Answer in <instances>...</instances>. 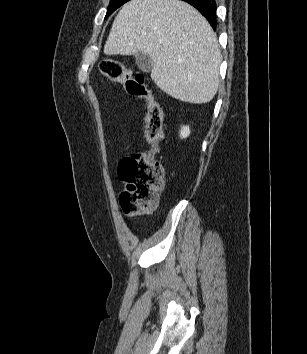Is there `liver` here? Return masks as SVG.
Here are the masks:
<instances>
[{"label":"liver","mask_w":307,"mask_h":354,"mask_svg":"<svg viewBox=\"0 0 307 354\" xmlns=\"http://www.w3.org/2000/svg\"><path fill=\"white\" fill-rule=\"evenodd\" d=\"M146 53L151 78L180 101H211L219 86L221 54L208 21L180 0H131L113 22L106 55Z\"/></svg>","instance_id":"obj_1"}]
</instances>
